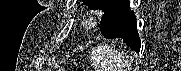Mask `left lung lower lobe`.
<instances>
[{"label": "left lung lower lobe", "mask_w": 181, "mask_h": 71, "mask_svg": "<svg viewBox=\"0 0 181 71\" xmlns=\"http://www.w3.org/2000/svg\"><path fill=\"white\" fill-rule=\"evenodd\" d=\"M129 5V0H118L108 12L103 14L100 29L106 38H121L139 53L141 42L137 32L136 17Z\"/></svg>", "instance_id": "0a47b994"}]
</instances>
